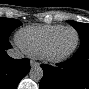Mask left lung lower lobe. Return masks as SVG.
<instances>
[{
	"instance_id": "obj_1",
	"label": "left lung lower lobe",
	"mask_w": 89,
	"mask_h": 89,
	"mask_svg": "<svg viewBox=\"0 0 89 89\" xmlns=\"http://www.w3.org/2000/svg\"><path fill=\"white\" fill-rule=\"evenodd\" d=\"M40 89H89V40H82L73 57L65 62L41 65Z\"/></svg>"
}]
</instances>
